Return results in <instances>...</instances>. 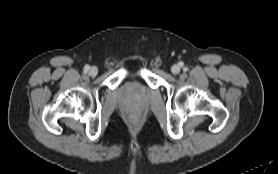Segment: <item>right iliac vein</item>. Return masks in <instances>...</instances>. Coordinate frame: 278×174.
I'll return each mask as SVG.
<instances>
[{"instance_id": "1", "label": "right iliac vein", "mask_w": 278, "mask_h": 174, "mask_svg": "<svg viewBox=\"0 0 278 174\" xmlns=\"http://www.w3.org/2000/svg\"><path fill=\"white\" fill-rule=\"evenodd\" d=\"M98 74V68L93 66L89 70V75L92 77H95Z\"/></svg>"}]
</instances>
